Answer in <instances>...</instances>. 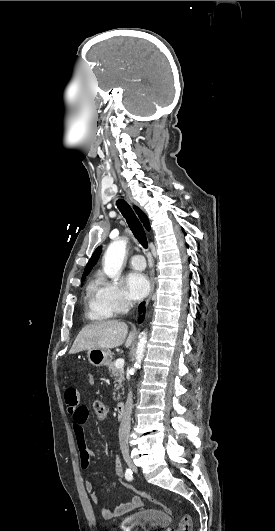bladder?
Segmentation results:
<instances>
[{
    "label": "bladder",
    "instance_id": "1",
    "mask_svg": "<svg viewBox=\"0 0 275 531\" xmlns=\"http://www.w3.org/2000/svg\"><path fill=\"white\" fill-rule=\"evenodd\" d=\"M168 521V514L161 510L152 507H144L143 509L132 512L124 516L119 526L111 531H151L152 528H159L158 531H165L166 523Z\"/></svg>",
    "mask_w": 275,
    "mask_h": 531
}]
</instances>
